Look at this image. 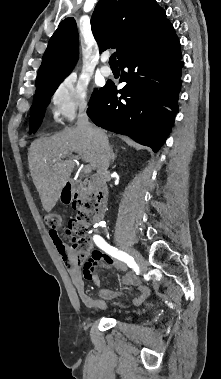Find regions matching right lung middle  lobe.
<instances>
[{
  "label": "right lung middle lobe",
  "instance_id": "obj_1",
  "mask_svg": "<svg viewBox=\"0 0 221 379\" xmlns=\"http://www.w3.org/2000/svg\"><path fill=\"white\" fill-rule=\"evenodd\" d=\"M62 80L63 79H60L46 87L36 90L34 96V104L31 107L30 133L35 132L40 126L45 113V108L50 102V97L53 95V93L55 92L59 84L62 82ZM101 90L102 88L93 94L89 105L93 103V101L97 98Z\"/></svg>",
  "mask_w": 221,
  "mask_h": 379
}]
</instances>
